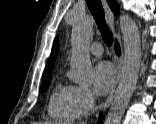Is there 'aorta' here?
<instances>
[{"label":"aorta","instance_id":"aorta-1","mask_svg":"<svg viewBox=\"0 0 156 124\" xmlns=\"http://www.w3.org/2000/svg\"><path fill=\"white\" fill-rule=\"evenodd\" d=\"M119 21L124 41L122 75L105 124L121 123L122 116L136 88L142 57L141 38L137 24L128 15H120ZM93 25V18L87 16L77 19L72 27L70 78L79 85L90 84L93 79L89 53Z\"/></svg>","mask_w":156,"mask_h":124}]
</instances>
